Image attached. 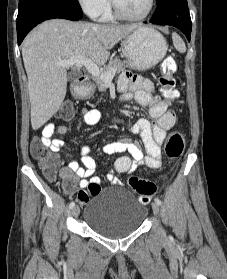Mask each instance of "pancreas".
Instances as JSON below:
<instances>
[{
	"label": "pancreas",
	"instance_id": "pancreas-1",
	"mask_svg": "<svg viewBox=\"0 0 227 279\" xmlns=\"http://www.w3.org/2000/svg\"><path fill=\"white\" fill-rule=\"evenodd\" d=\"M111 69H115L116 73H120L121 71H124L125 66L120 59H111L108 65L103 68L102 72H108ZM93 80L99 91H102L105 88L106 82L100 76H94Z\"/></svg>",
	"mask_w": 227,
	"mask_h": 279
}]
</instances>
